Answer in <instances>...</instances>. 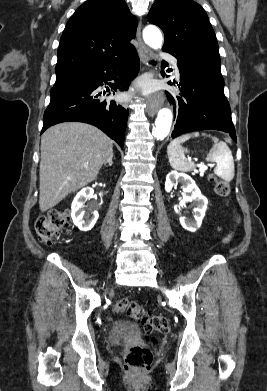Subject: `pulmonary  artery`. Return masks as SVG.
<instances>
[{
  "instance_id": "pulmonary-artery-1",
  "label": "pulmonary artery",
  "mask_w": 267,
  "mask_h": 391,
  "mask_svg": "<svg viewBox=\"0 0 267 391\" xmlns=\"http://www.w3.org/2000/svg\"><path fill=\"white\" fill-rule=\"evenodd\" d=\"M164 57H165L168 61H170V62L172 63V65H173V67H174V69H175L176 74H178V73H179V70H178V66H177V61H176V59H175L174 57H172V56H169V55H164Z\"/></svg>"
}]
</instances>
